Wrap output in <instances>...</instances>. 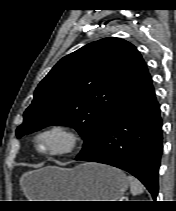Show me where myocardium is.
<instances>
[{
	"mask_svg": "<svg viewBox=\"0 0 176 211\" xmlns=\"http://www.w3.org/2000/svg\"><path fill=\"white\" fill-rule=\"evenodd\" d=\"M48 136H57L62 139V143L53 148H42L41 140ZM81 142L79 134L61 123H54L42 127L35 135L34 143L37 152L43 156L54 157L73 153Z\"/></svg>",
	"mask_w": 176,
	"mask_h": 211,
	"instance_id": "obj_1",
	"label": "myocardium"
}]
</instances>
